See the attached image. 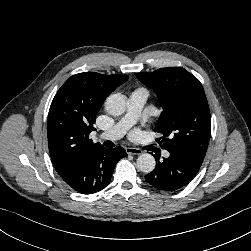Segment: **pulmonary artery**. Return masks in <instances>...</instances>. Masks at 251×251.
<instances>
[{
    "instance_id": "1",
    "label": "pulmonary artery",
    "mask_w": 251,
    "mask_h": 251,
    "mask_svg": "<svg viewBox=\"0 0 251 251\" xmlns=\"http://www.w3.org/2000/svg\"><path fill=\"white\" fill-rule=\"evenodd\" d=\"M148 92L145 89H137L133 91L128 100V109L125 116L116 123L111 129L102 133L100 138L111 141L118 140L123 137L128 128L138 119L140 113L147 101ZM164 157L169 156L168 151L163 152Z\"/></svg>"
}]
</instances>
